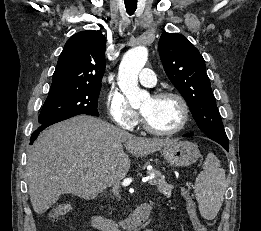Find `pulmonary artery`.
Listing matches in <instances>:
<instances>
[{
	"label": "pulmonary artery",
	"mask_w": 261,
	"mask_h": 231,
	"mask_svg": "<svg viewBox=\"0 0 261 231\" xmlns=\"http://www.w3.org/2000/svg\"><path fill=\"white\" fill-rule=\"evenodd\" d=\"M140 82L145 87H154L156 85L154 71L149 68H143L140 73Z\"/></svg>",
	"instance_id": "1"
}]
</instances>
